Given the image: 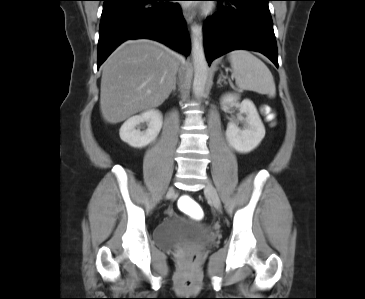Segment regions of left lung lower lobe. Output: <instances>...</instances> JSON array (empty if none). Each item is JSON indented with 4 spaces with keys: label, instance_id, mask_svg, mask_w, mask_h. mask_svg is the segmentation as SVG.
<instances>
[{
    "label": "left lung lower lobe",
    "instance_id": "1",
    "mask_svg": "<svg viewBox=\"0 0 365 299\" xmlns=\"http://www.w3.org/2000/svg\"><path fill=\"white\" fill-rule=\"evenodd\" d=\"M217 1L220 11L204 23L208 63L229 51L249 49L263 53L278 67L277 43L268 8L271 0Z\"/></svg>",
    "mask_w": 365,
    "mask_h": 299
}]
</instances>
